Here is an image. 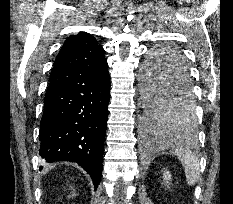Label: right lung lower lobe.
<instances>
[{"instance_id":"right-lung-lower-lobe-1","label":"right lung lower lobe","mask_w":233,"mask_h":204,"mask_svg":"<svg viewBox=\"0 0 233 204\" xmlns=\"http://www.w3.org/2000/svg\"><path fill=\"white\" fill-rule=\"evenodd\" d=\"M109 92L107 63L78 70L47 90L40 126L41 157L49 163L77 162L91 176L95 189L102 175Z\"/></svg>"}]
</instances>
